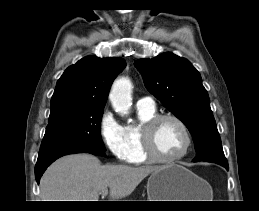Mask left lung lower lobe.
Wrapping results in <instances>:
<instances>
[{
    "mask_svg": "<svg viewBox=\"0 0 259 211\" xmlns=\"http://www.w3.org/2000/svg\"><path fill=\"white\" fill-rule=\"evenodd\" d=\"M222 166H224L227 170L229 169L228 168V163L227 164H223Z\"/></svg>",
    "mask_w": 259,
    "mask_h": 211,
    "instance_id": "left-lung-lower-lobe-1",
    "label": "left lung lower lobe"
}]
</instances>
